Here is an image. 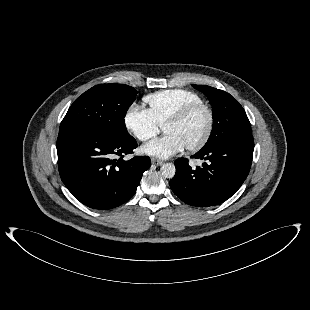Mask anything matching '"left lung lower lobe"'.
<instances>
[{"instance_id": "obj_1", "label": "left lung lower lobe", "mask_w": 310, "mask_h": 310, "mask_svg": "<svg viewBox=\"0 0 310 310\" xmlns=\"http://www.w3.org/2000/svg\"><path fill=\"white\" fill-rule=\"evenodd\" d=\"M253 136H240L214 147L200 150L192 158L208 160L193 170L188 160L174 163L176 174L170 181L172 191L185 203L207 207L229 199L245 181L252 163Z\"/></svg>"}]
</instances>
